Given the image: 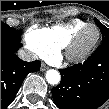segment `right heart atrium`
I'll return each instance as SVG.
<instances>
[{
	"instance_id": "right-heart-atrium-1",
	"label": "right heart atrium",
	"mask_w": 109,
	"mask_h": 109,
	"mask_svg": "<svg viewBox=\"0 0 109 109\" xmlns=\"http://www.w3.org/2000/svg\"><path fill=\"white\" fill-rule=\"evenodd\" d=\"M25 42L27 48L33 53L34 56L44 58L46 55H48V51L38 43L28 39H25Z\"/></svg>"
}]
</instances>
